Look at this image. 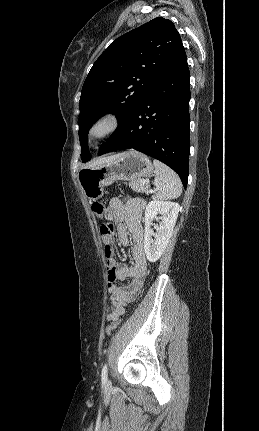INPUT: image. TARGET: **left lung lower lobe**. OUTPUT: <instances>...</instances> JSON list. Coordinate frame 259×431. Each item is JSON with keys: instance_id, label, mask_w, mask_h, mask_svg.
Here are the masks:
<instances>
[{"instance_id": "left-lung-lower-lobe-1", "label": "left lung lower lobe", "mask_w": 259, "mask_h": 431, "mask_svg": "<svg viewBox=\"0 0 259 431\" xmlns=\"http://www.w3.org/2000/svg\"><path fill=\"white\" fill-rule=\"evenodd\" d=\"M190 73L182 46L151 90L98 151L135 149L168 165L186 188L190 151Z\"/></svg>"}]
</instances>
